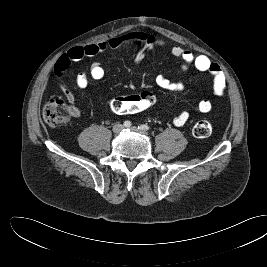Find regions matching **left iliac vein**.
Returning <instances> with one entry per match:
<instances>
[{"label":"left iliac vein","instance_id":"1","mask_svg":"<svg viewBox=\"0 0 267 267\" xmlns=\"http://www.w3.org/2000/svg\"><path fill=\"white\" fill-rule=\"evenodd\" d=\"M131 131L137 132V133H140V134H143V135H148V133L146 131L141 130V129L135 127V126L131 127Z\"/></svg>","mask_w":267,"mask_h":267}]
</instances>
